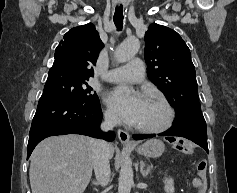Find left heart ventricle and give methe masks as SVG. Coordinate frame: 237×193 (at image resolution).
Masks as SVG:
<instances>
[{
  "label": "left heart ventricle",
  "instance_id": "left-heart-ventricle-1",
  "mask_svg": "<svg viewBox=\"0 0 237 193\" xmlns=\"http://www.w3.org/2000/svg\"><path fill=\"white\" fill-rule=\"evenodd\" d=\"M165 117L166 112L159 103L146 100L136 125L146 127L159 126L164 122Z\"/></svg>",
  "mask_w": 237,
  "mask_h": 193
}]
</instances>
